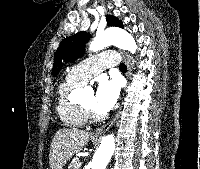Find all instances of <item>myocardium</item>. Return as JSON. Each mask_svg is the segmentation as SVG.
<instances>
[{"label": "myocardium", "mask_w": 200, "mask_h": 169, "mask_svg": "<svg viewBox=\"0 0 200 169\" xmlns=\"http://www.w3.org/2000/svg\"><path fill=\"white\" fill-rule=\"evenodd\" d=\"M83 107L88 116V119H90L92 121H99L104 118V114L98 113L93 108L89 107L88 105L84 104Z\"/></svg>", "instance_id": "obj_1"}]
</instances>
